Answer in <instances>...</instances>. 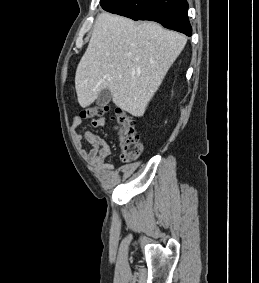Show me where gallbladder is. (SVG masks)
<instances>
[{"instance_id": "gallbladder-1", "label": "gallbladder", "mask_w": 259, "mask_h": 283, "mask_svg": "<svg viewBox=\"0 0 259 283\" xmlns=\"http://www.w3.org/2000/svg\"><path fill=\"white\" fill-rule=\"evenodd\" d=\"M111 99H112V94L110 90L104 89L98 95L96 103L100 108H102L106 106L111 101Z\"/></svg>"}]
</instances>
